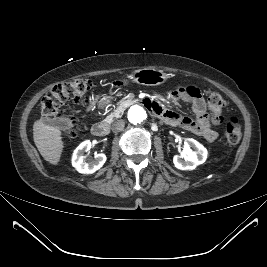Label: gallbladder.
<instances>
[{"mask_svg":"<svg viewBox=\"0 0 267 267\" xmlns=\"http://www.w3.org/2000/svg\"><path fill=\"white\" fill-rule=\"evenodd\" d=\"M51 124L62 129H68L72 127V121L67 117L54 118L51 121Z\"/></svg>","mask_w":267,"mask_h":267,"instance_id":"bac80fb5","label":"gallbladder"}]
</instances>
